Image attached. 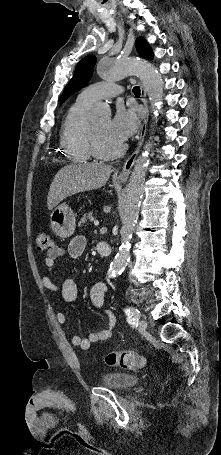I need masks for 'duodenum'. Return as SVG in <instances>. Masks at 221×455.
Wrapping results in <instances>:
<instances>
[{"instance_id": "410a0bca", "label": "duodenum", "mask_w": 221, "mask_h": 455, "mask_svg": "<svg viewBox=\"0 0 221 455\" xmlns=\"http://www.w3.org/2000/svg\"><path fill=\"white\" fill-rule=\"evenodd\" d=\"M97 252L102 256H108L111 253V246L106 241H100L97 243Z\"/></svg>"}]
</instances>
